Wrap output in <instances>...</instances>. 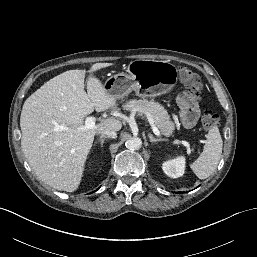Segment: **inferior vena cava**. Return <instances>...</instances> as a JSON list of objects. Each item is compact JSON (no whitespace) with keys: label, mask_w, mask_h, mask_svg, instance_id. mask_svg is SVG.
<instances>
[{"label":"inferior vena cava","mask_w":257,"mask_h":257,"mask_svg":"<svg viewBox=\"0 0 257 257\" xmlns=\"http://www.w3.org/2000/svg\"><path fill=\"white\" fill-rule=\"evenodd\" d=\"M99 134L101 136H105V137H108V138H113V139L117 138V133H116V131H113V130L101 131Z\"/></svg>","instance_id":"obj_1"}]
</instances>
